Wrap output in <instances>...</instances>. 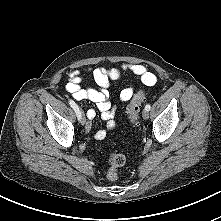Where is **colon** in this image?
Wrapping results in <instances>:
<instances>
[{
	"instance_id": "5ec220e1",
	"label": "colon",
	"mask_w": 221,
	"mask_h": 221,
	"mask_svg": "<svg viewBox=\"0 0 221 221\" xmlns=\"http://www.w3.org/2000/svg\"><path fill=\"white\" fill-rule=\"evenodd\" d=\"M146 92H138L131 102L127 106V117L132 124H137L139 119V113L143 103L146 100ZM125 156L119 153H113L108 156L109 169L107 171V177L109 180L114 181L118 179L120 174V168L125 164Z\"/></svg>"
}]
</instances>
